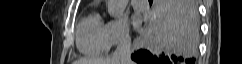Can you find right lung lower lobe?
I'll return each mask as SVG.
<instances>
[{"label": "right lung lower lobe", "mask_w": 242, "mask_h": 64, "mask_svg": "<svg viewBox=\"0 0 242 64\" xmlns=\"http://www.w3.org/2000/svg\"><path fill=\"white\" fill-rule=\"evenodd\" d=\"M196 0H156L159 47L131 55L138 64H193L198 43Z\"/></svg>", "instance_id": "obj_1"}]
</instances>
